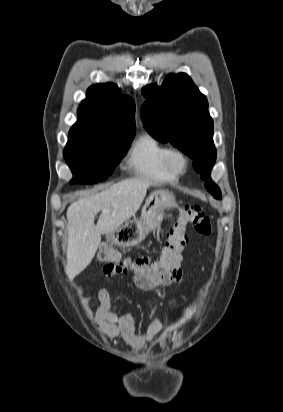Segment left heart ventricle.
I'll list each match as a JSON object with an SVG mask.
<instances>
[{
    "mask_svg": "<svg viewBox=\"0 0 283 412\" xmlns=\"http://www.w3.org/2000/svg\"><path fill=\"white\" fill-rule=\"evenodd\" d=\"M174 165H175L177 168H180V167L182 166V161L177 158V159L174 160Z\"/></svg>",
    "mask_w": 283,
    "mask_h": 412,
    "instance_id": "1",
    "label": "left heart ventricle"
}]
</instances>
